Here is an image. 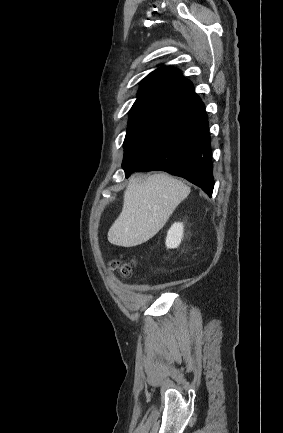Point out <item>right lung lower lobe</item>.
Wrapping results in <instances>:
<instances>
[{
	"label": "right lung lower lobe",
	"instance_id": "right-lung-lower-lobe-1",
	"mask_svg": "<svg viewBox=\"0 0 283 433\" xmlns=\"http://www.w3.org/2000/svg\"><path fill=\"white\" fill-rule=\"evenodd\" d=\"M122 168L126 177L135 171H165L187 179L211 197V138L199 96L150 121L124 150Z\"/></svg>",
	"mask_w": 283,
	"mask_h": 433
}]
</instances>
